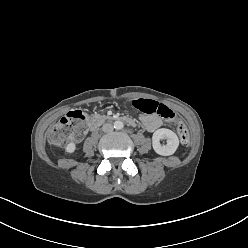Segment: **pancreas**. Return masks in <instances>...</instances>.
Returning <instances> with one entry per match:
<instances>
[{
  "label": "pancreas",
  "instance_id": "1",
  "mask_svg": "<svg viewBox=\"0 0 248 248\" xmlns=\"http://www.w3.org/2000/svg\"><path fill=\"white\" fill-rule=\"evenodd\" d=\"M103 119H106V117L104 116V117H102Z\"/></svg>",
  "mask_w": 248,
  "mask_h": 248
}]
</instances>
